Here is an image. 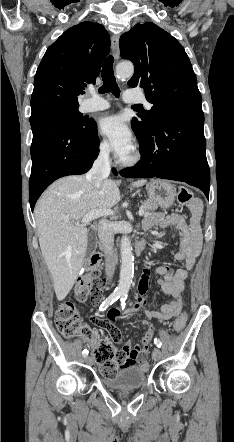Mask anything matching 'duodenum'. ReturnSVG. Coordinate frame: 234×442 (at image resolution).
Segmentation results:
<instances>
[{"mask_svg":"<svg viewBox=\"0 0 234 442\" xmlns=\"http://www.w3.org/2000/svg\"><path fill=\"white\" fill-rule=\"evenodd\" d=\"M102 248L104 249V246H102ZM144 249H145V242L143 240L136 243L135 252L137 255H141L144 252ZM113 260L116 262L117 261L116 257H113Z\"/></svg>","mask_w":234,"mask_h":442,"instance_id":"duodenum-1","label":"duodenum"}]
</instances>
